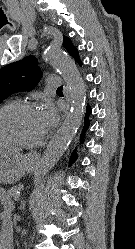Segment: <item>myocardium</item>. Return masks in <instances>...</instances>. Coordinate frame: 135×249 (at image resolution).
Instances as JSON below:
<instances>
[{"instance_id":"f54148a6","label":"myocardium","mask_w":135,"mask_h":249,"mask_svg":"<svg viewBox=\"0 0 135 249\" xmlns=\"http://www.w3.org/2000/svg\"><path fill=\"white\" fill-rule=\"evenodd\" d=\"M17 109L32 110V109H36V105L32 102H27V101H14V102L8 103L0 109V121L7 112L11 110H17ZM44 137H45V133L36 141H32V142L24 141L22 139L17 138L13 134L4 132L0 125V138L4 141L9 142L10 144H15V145L27 147V148H34V147L39 146L43 142Z\"/></svg>"}]
</instances>
